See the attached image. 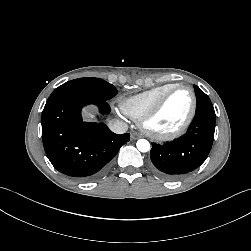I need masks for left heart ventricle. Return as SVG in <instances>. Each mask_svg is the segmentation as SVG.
<instances>
[{"mask_svg": "<svg viewBox=\"0 0 251 251\" xmlns=\"http://www.w3.org/2000/svg\"><path fill=\"white\" fill-rule=\"evenodd\" d=\"M192 105V97L188 90L173 92L166 100L158 115L151 121L150 127L157 132H170L182 125Z\"/></svg>", "mask_w": 251, "mask_h": 251, "instance_id": "b2bd125f", "label": "left heart ventricle"}]
</instances>
